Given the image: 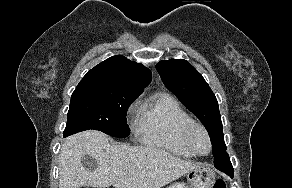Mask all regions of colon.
I'll list each match as a JSON object with an SVG mask.
<instances>
[{
  "label": "colon",
  "mask_w": 292,
  "mask_h": 188,
  "mask_svg": "<svg viewBox=\"0 0 292 188\" xmlns=\"http://www.w3.org/2000/svg\"><path fill=\"white\" fill-rule=\"evenodd\" d=\"M84 188V187H82ZM213 188H227L226 181L224 179H218L213 185Z\"/></svg>",
  "instance_id": "5ec220e1"
}]
</instances>
